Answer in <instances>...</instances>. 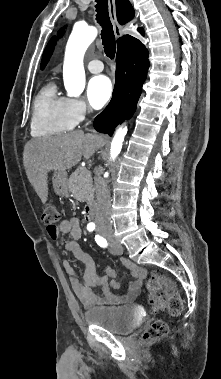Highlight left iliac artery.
I'll use <instances>...</instances> for the list:
<instances>
[{
    "label": "left iliac artery",
    "mask_w": 221,
    "mask_h": 379,
    "mask_svg": "<svg viewBox=\"0 0 221 379\" xmlns=\"http://www.w3.org/2000/svg\"><path fill=\"white\" fill-rule=\"evenodd\" d=\"M95 240L97 242V244L100 246V247H107V241L106 239H104L103 237L99 236V235H96L95 236Z\"/></svg>",
    "instance_id": "left-iliac-artery-1"
}]
</instances>
